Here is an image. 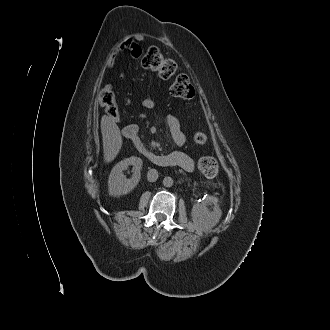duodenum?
Wrapping results in <instances>:
<instances>
[{"label":"duodenum","mask_w":330,"mask_h":330,"mask_svg":"<svg viewBox=\"0 0 330 330\" xmlns=\"http://www.w3.org/2000/svg\"><path fill=\"white\" fill-rule=\"evenodd\" d=\"M124 136L127 139H134L137 136V132L134 127L127 126L124 130ZM138 147H140L141 151L147 156V158L154 164L158 166H171L169 165L168 159L165 155L156 154L148 151L139 141H137Z\"/></svg>","instance_id":"1"}]
</instances>
